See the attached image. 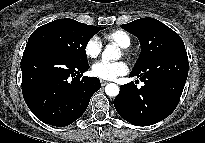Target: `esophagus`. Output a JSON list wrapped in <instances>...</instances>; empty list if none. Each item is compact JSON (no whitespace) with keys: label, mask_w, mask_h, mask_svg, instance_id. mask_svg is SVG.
Listing matches in <instances>:
<instances>
[{"label":"esophagus","mask_w":205,"mask_h":143,"mask_svg":"<svg viewBox=\"0 0 205 143\" xmlns=\"http://www.w3.org/2000/svg\"><path fill=\"white\" fill-rule=\"evenodd\" d=\"M100 82H101V85H102V86H105V85L108 83V82L105 81V80H101Z\"/></svg>","instance_id":"obj_1"}]
</instances>
